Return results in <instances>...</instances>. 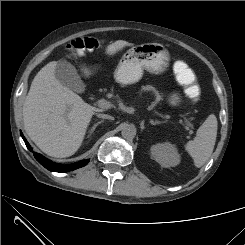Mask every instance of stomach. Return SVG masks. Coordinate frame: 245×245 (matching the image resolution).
I'll return each instance as SVG.
<instances>
[{
	"instance_id": "obj_1",
	"label": "stomach",
	"mask_w": 245,
	"mask_h": 245,
	"mask_svg": "<svg viewBox=\"0 0 245 245\" xmlns=\"http://www.w3.org/2000/svg\"><path fill=\"white\" fill-rule=\"evenodd\" d=\"M170 60L168 50L159 43H144L130 48L118 63L114 72L115 80L122 85L138 82L144 71L161 74L166 71ZM170 103H179V97L174 94Z\"/></svg>"
}]
</instances>
